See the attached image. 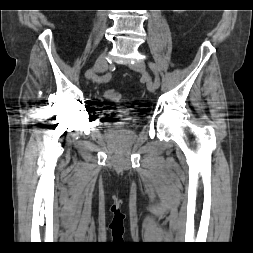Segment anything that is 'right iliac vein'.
Segmentation results:
<instances>
[{
	"label": "right iliac vein",
	"mask_w": 253,
	"mask_h": 253,
	"mask_svg": "<svg viewBox=\"0 0 253 253\" xmlns=\"http://www.w3.org/2000/svg\"><path fill=\"white\" fill-rule=\"evenodd\" d=\"M107 69L106 51H103L97 58L92 70L87 71L86 77L92 78L96 73H103Z\"/></svg>",
	"instance_id": "1"
}]
</instances>
